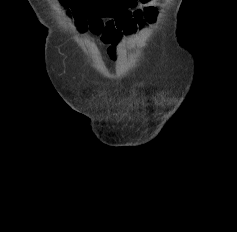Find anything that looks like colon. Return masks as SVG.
Listing matches in <instances>:
<instances>
[{"mask_svg":"<svg viewBox=\"0 0 237 232\" xmlns=\"http://www.w3.org/2000/svg\"><path fill=\"white\" fill-rule=\"evenodd\" d=\"M70 6L78 25L85 29H98L103 18H114L137 7L144 0H61Z\"/></svg>","mask_w":237,"mask_h":232,"instance_id":"5ec220e1","label":"colon"}]
</instances>
